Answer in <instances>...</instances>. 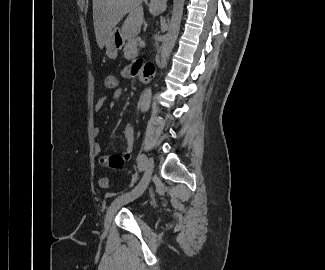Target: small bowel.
<instances>
[{
  "label": "small bowel",
  "mask_w": 325,
  "mask_h": 270,
  "mask_svg": "<svg viewBox=\"0 0 325 270\" xmlns=\"http://www.w3.org/2000/svg\"><path fill=\"white\" fill-rule=\"evenodd\" d=\"M140 70L141 74L148 79L154 74L155 67L154 64L151 62H144L142 60H139L134 66L125 68L122 72V75L125 78H133L139 74ZM121 93L122 89L118 84V89L113 92L112 96H104L96 102L94 107L95 111L98 112L105 107L112 108L115 102L120 98ZM99 133V128L94 127L92 130L93 136L96 138L99 136ZM123 136L125 139V150L123 155H102L101 145L97 142L94 144L93 153L96 157L100 159L102 165L116 169L122 167L124 162L130 158L134 147V129L132 125L127 124L124 127Z\"/></svg>",
  "instance_id": "obj_1"
}]
</instances>
